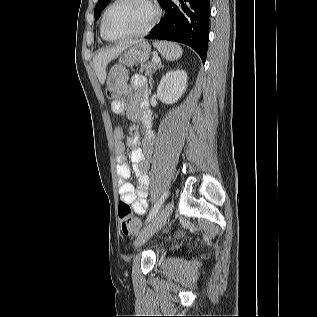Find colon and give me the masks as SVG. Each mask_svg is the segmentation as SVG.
Here are the masks:
<instances>
[{
  "label": "colon",
  "mask_w": 317,
  "mask_h": 317,
  "mask_svg": "<svg viewBox=\"0 0 317 317\" xmlns=\"http://www.w3.org/2000/svg\"><path fill=\"white\" fill-rule=\"evenodd\" d=\"M128 73L121 64H115L111 67L107 82L106 93L112 99H119L128 94ZM118 215L122 232L126 235L137 232L140 227L139 220L133 216L132 208L129 204L121 201L118 205Z\"/></svg>",
  "instance_id": "colon-1"
}]
</instances>
